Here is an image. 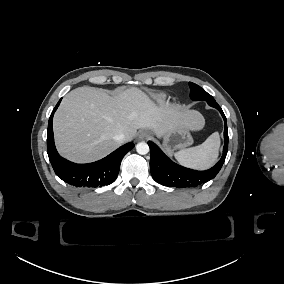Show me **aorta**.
Segmentation results:
<instances>
[{
    "label": "aorta",
    "instance_id": "1",
    "mask_svg": "<svg viewBox=\"0 0 284 284\" xmlns=\"http://www.w3.org/2000/svg\"><path fill=\"white\" fill-rule=\"evenodd\" d=\"M136 151L141 155H145L149 152V146L145 142H140L136 145Z\"/></svg>",
    "mask_w": 284,
    "mask_h": 284
}]
</instances>
